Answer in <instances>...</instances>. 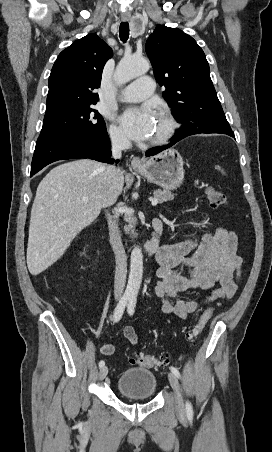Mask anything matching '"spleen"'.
<instances>
[{
  "label": "spleen",
  "mask_w": 272,
  "mask_h": 452,
  "mask_svg": "<svg viewBox=\"0 0 272 452\" xmlns=\"http://www.w3.org/2000/svg\"><path fill=\"white\" fill-rule=\"evenodd\" d=\"M216 168H217L218 170H220V167L217 166ZM222 172H223V170H222Z\"/></svg>",
  "instance_id": "obj_1"
}]
</instances>
